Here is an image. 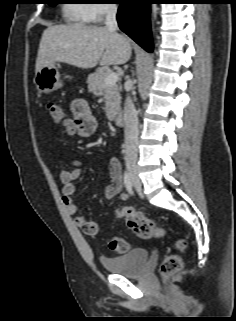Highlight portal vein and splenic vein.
I'll return each mask as SVG.
<instances>
[{
  "label": "portal vein and splenic vein",
  "mask_w": 236,
  "mask_h": 321,
  "mask_svg": "<svg viewBox=\"0 0 236 321\" xmlns=\"http://www.w3.org/2000/svg\"><path fill=\"white\" fill-rule=\"evenodd\" d=\"M117 81H118V75L114 72H109L106 75L104 80L105 84L108 86L116 84Z\"/></svg>",
  "instance_id": "obj_1"
}]
</instances>
